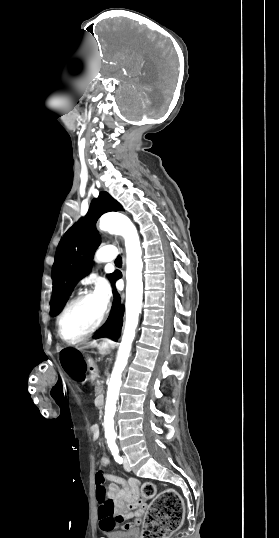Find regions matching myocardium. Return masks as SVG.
Instances as JSON below:
<instances>
[{"instance_id":"myocardium-1","label":"myocardium","mask_w":279,"mask_h":538,"mask_svg":"<svg viewBox=\"0 0 279 538\" xmlns=\"http://www.w3.org/2000/svg\"><path fill=\"white\" fill-rule=\"evenodd\" d=\"M97 230L99 232H104L105 229L103 226L97 224ZM95 295V291L93 290H84L82 291L81 293H79L78 295H76L72 300H70L66 306L63 308V310L61 311V313L59 314L58 318H57V321H56V325H57V332H58V335L59 337L61 338V340L63 342H65L66 344L68 345H76L78 343H81L82 341H84L85 339H87L88 337H90L91 335H93L99 328L100 326L102 325L104 319H105V316H106V308H103L97 321L95 322V324L93 325V327L91 329H89L86 333H84L83 335H81L80 337H78L77 339H75L74 341H69L67 340L64 336H63V333H62V320L64 318V316L66 315V313L69 311V309L74 306L77 302L85 299V298H88V297H91V296H94Z\"/></svg>"}]
</instances>
